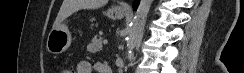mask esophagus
<instances>
[{
    "instance_id": "esophagus-1",
    "label": "esophagus",
    "mask_w": 244,
    "mask_h": 73,
    "mask_svg": "<svg viewBox=\"0 0 244 73\" xmlns=\"http://www.w3.org/2000/svg\"><path fill=\"white\" fill-rule=\"evenodd\" d=\"M120 8L123 9V10H128V9H129V6H128V4H126V3H122V4L120 5Z\"/></svg>"
}]
</instances>
